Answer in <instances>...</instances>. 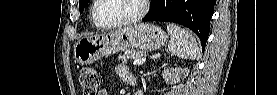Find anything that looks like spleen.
<instances>
[{
  "instance_id": "1",
  "label": "spleen",
  "mask_w": 277,
  "mask_h": 95,
  "mask_svg": "<svg viewBox=\"0 0 277 95\" xmlns=\"http://www.w3.org/2000/svg\"><path fill=\"white\" fill-rule=\"evenodd\" d=\"M170 35L168 51L179 58L195 60L199 57V47L195 38L185 29L175 24H168Z\"/></svg>"
}]
</instances>
